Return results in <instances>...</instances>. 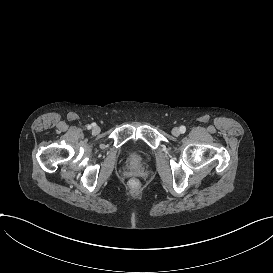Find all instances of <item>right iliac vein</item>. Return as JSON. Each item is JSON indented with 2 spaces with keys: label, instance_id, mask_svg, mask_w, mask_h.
<instances>
[{
  "label": "right iliac vein",
  "instance_id": "obj_1",
  "mask_svg": "<svg viewBox=\"0 0 273 273\" xmlns=\"http://www.w3.org/2000/svg\"><path fill=\"white\" fill-rule=\"evenodd\" d=\"M92 131L96 134H98L100 132V128L98 126H94Z\"/></svg>",
  "mask_w": 273,
  "mask_h": 273
}]
</instances>
